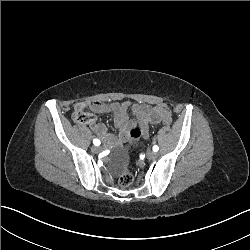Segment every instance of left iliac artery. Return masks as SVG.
<instances>
[{"label": "left iliac artery", "mask_w": 250, "mask_h": 250, "mask_svg": "<svg viewBox=\"0 0 250 250\" xmlns=\"http://www.w3.org/2000/svg\"><path fill=\"white\" fill-rule=\"evenodd\" d=\"M158 150H159V147H158L157 145H154V146H153V151H154V152H157Z\"/></svg>", "instance_id": "left-iliac-artery-1"}]
</instances>
